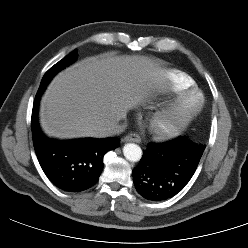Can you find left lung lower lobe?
<instances>
[{
    "instance_id": "1",
    "label": "left lung lower lobe",
    "mask_w": 248,
    "mask_h": 248,
    "mask_svg": "<svg viewBox=\"0 0 248 248\" xmlns=\"http://www.w3.org/2000/svg\"><path fill=\"white\" fill-rule=\"evenodd\" d=\"M204 150L183 136L149 144L132 172L137 192L151 201L172 198L190 181Z\"/></svg>"
}]
</instances>
